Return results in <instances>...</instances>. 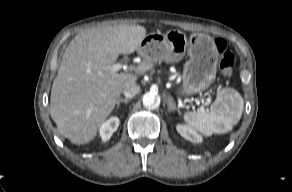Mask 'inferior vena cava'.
Wrapping results in <instances>:
<instances>
[{"mask_svg": "<svg viewBox=\"0 0 292 192\" xmlns=\"http://www.w3.org/2000/svg\"><path fill=\"white\" fill-rule=\"evenodd\" d=\"M140 91L139 85L136 83H127L124 87L123 94L126 98H132Z\"/></svg>", "mask_w": 292, "mask_h": 192, "instance_id": "1", "label": "inferior vena cava"}]
</instances>
